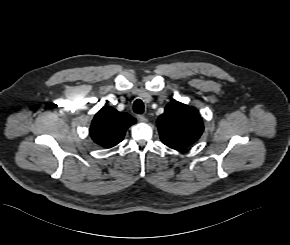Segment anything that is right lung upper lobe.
<instances>
[{"mask_svg":"<svg viewBox=\"0 0 290 245\" xmlns=\"http://www.w3.org/2000/svg\"><path fill=\"white\" fill-rule=\"evenodd\" d=\"M135 123L136 119L129 114L103 107L91 123L90 134L95 143L111 148L122 141L128 127Z\"/></svg>","mask_w":290,"mask_h":245,"instance_id":"obj_1","label":"right lung upper lobe"}]
</instances>
